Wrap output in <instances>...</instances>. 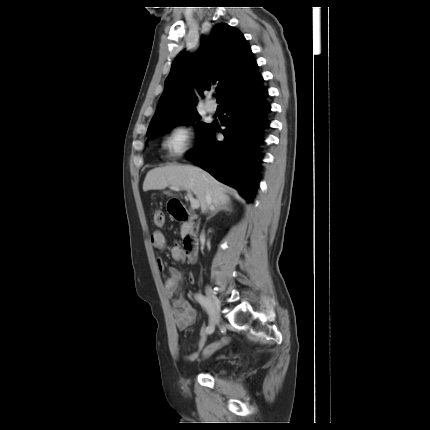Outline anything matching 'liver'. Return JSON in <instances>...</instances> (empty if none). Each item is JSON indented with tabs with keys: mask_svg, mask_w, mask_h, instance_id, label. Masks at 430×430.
Masks as SVG:
<instances>
[{
	"mask_svg": "<svg viewBox=\"0 0 430 430\" xmlns=\"http://www.w3.org/2000/svg\"><path fill=\"white\" fill-rule=\"evenodd\" d=\"M181 187L192 191L202 212L207 210L206 195L211 194L212 209L229 204L225 186L206 171L191 165H167L150 170L143 183V191Z\"/></svg>",
	"mask_w": 430,
	"mask_h": 430,
	"instance_id": "6515ba94",
	"label": "liver"
}]
</instances>
